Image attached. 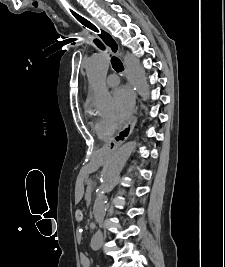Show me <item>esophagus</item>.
I'll use <instances>...</instances> for the list:
<instances>
[{"instance_id":"1","label":"esophagus","mask_w":225,"mask_h":267,"mask_svg":"<svg viewBox=\"0 0 225 267\" xmlns=\"http://www.w3.org/2000/svg\"><path fill=\"white\" fill-rule=\"evenodd\" d=\"M94 23L96 24V26L98 28H101L102 30H100L99 35L102 34V31L104 33H107L110 37H109V42L108 44H106L109 49L111 50V52L115 53L118 57H121L120 51H119V45L116 41V39L111 35V33L105 29L103 26L99 25V23H97L96 21H94ZM125 74H126V70H125ZM128 84L131 87L132 93H133V97H134V101L136 102L137 100V93L136 91L133 89V87L131 86V84L128 81ZM137 105L135 106V110H134V114L131 116V118L129 119V121L127 122L126 126L122 129V131L115 136L114 138L110 139L103 147L104 151L106 153L113 154L116 149L130 136V134L132 133L134 126L137 122V118H136V113H137Z\"/></svg>"}]
</instances>
